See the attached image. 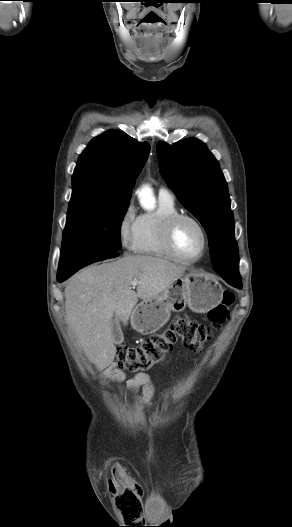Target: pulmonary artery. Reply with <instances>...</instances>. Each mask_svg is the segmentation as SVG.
<instances>
[{"label":"pulmonary artery","mask_w":292,"mask_h":527,"mask_svg":"<svg viewBox=\"0 0 292 527\" xmlns=\"http://www.w3.org/2000/svg\"><path fill=\"white\" fill-rule=\"evenodd\" d=\"M159 195L161 196H167V197H172L173 198V195L172 193L165 187H161L159 189Z\"/></svg>","instance_id":"e3ab8cb5"}]
</instances>
